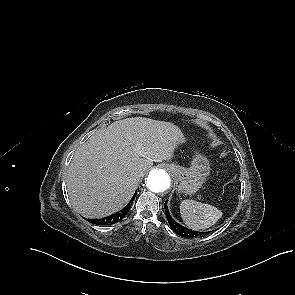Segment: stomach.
<instances>
[{
	"label": "stomach",
	"instance_id": "obj_1",
	"mask_svg": "<svg viewBox=\"0 0 295 295\" xmlns=\"http://www.w3.org/2000/svg\"><path fill=\"white\" fill-rule=\"evenodd\" d=\"M169 169L175 179L176 190L188 195L197 192L210 173L209 161L201 154L193 157L189 168L171 164Z\"/></svg>",
	"mask_w": 295,
	"mask_h": 295
}]
</instances>
